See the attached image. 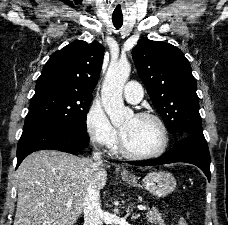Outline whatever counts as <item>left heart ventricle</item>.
<instances>
[{"instance_id": "obj_1", "label": "left heart ventricle", "mask_w": 228, "mask_h": 225, "mask_svg": "<svg viewBox=\"0 0 228 225\" xmlns=\"http://www.w3.org/2000/svg\"><path fill=\"white\" fill-rule=\"evenodd\" d=\"M130 149L144 154L157 152L163 144V132L151 119L129 118L121 127Z\"/></svg>"}]
</instances>
